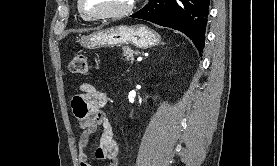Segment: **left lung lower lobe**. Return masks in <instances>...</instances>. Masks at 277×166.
<instances>
[{"label":"left lung lower lobe","mask_w":277,"mask_h":166,"mask_svg":"<svg viewBox=\"0 0 277 166\" xmlns=\"http://www.w3.org/2000/svg\"><path fill=\"white\" fill-rule=\"evenodd\" d=\"M209 2L210 0H150L131 17L179 30L201 52L205 44Z\"/></svg>","instance_id":"1"}]
</instances>
